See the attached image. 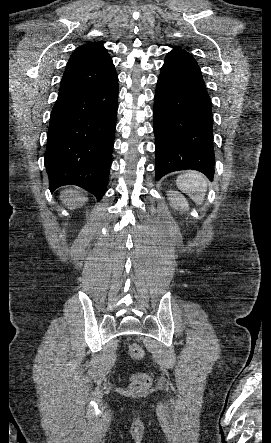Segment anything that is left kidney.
Segmentation results:
<instances>
[{"mask_svg":"<svg viewBox=\"0 0 271 443\" xmlns=\"http://www.w3.org/2000/svg\"><path fill=\"white\" fill-rule=\"evenodd\" d=\"M167 196H170L169 200H171V206H173V208L187 210L188 202L182 194H179V192H168Z\"/></svg>","mask_w":271,"mask_h":443,"instance_id":"5707ae66","label":"left kidney"}]
</instances>
